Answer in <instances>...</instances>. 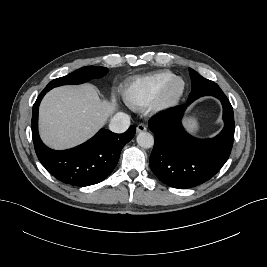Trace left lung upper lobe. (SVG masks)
I'll list each match as a JSON object with an SVG mask.
<instances>
[{"label": "left lung upper lobe", "instance_id": "1", "mask_svg": "<svg viewBox=\"0 0 267 267\" xmlns=\"http://www.w3.org/2000/svg\"><path fill=\"white\" fill-rule=\"evenodd\" d=\"M189 73L192 81V92L190 93V95L201 90H207L209 88L214 89L220 94L223 93L216 83L200 76L195 70L189 68Z\"/></svg>", "mask_w": 267, "mask_h": 267}]
</instances>
